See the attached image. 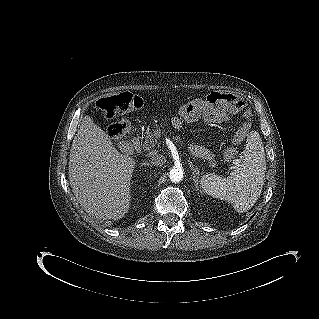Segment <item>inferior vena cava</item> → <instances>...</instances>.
<instances>
[{
	"label": "inferior vena cava",
	"instance_id": "1",
	"mask_svg": "<svg viewBox=\"0 0 319 319\" xmlns=\"http://www.w3.org/2000/svg\"><path fill=\"white\" fill-rule=\"evenodd\" d=\"M150 162L154 166H163L166 163V157L157 153V152H152L151 157H150Z\"/></svg>",
	"mask_w": 319,
	"mask_h": 319
}]
</instances>
